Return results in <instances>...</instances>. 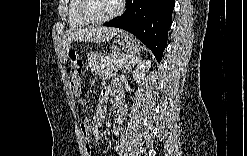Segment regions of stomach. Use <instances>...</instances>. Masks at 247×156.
Masks as SVG:
<instances>
[{"mask_svg": "<svg viewBox=\"0 0 247 156\" xmlns=\"http://www.w3.org/2000/svg\"><path fill=\"white\" fill-rule=\"evenodd\" d=\"M115 42L127 53L136 54L140 51L138 42L127 33H121L115 38ZM88 64L93 71H97L102 65L103 57L95 52L87 54Z\"/></svg>", "mask_w": 247, "mask_h": 156, "instance_id": "0dacf381", "label": "stomach"}]
</instances>
